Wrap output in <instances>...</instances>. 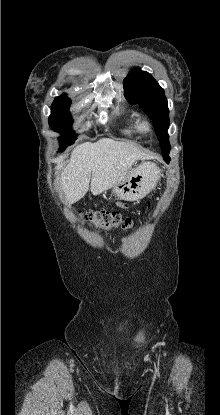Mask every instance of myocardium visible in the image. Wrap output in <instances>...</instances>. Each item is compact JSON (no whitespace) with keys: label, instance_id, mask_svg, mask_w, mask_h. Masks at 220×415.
<instances>
[{"label":"myocardium","instance_id":"obj_1","mask_svg":"<svg viewBox=\"0 0 220 415\" xmlns=\"http://www.w3.org/2000/svg\"><path fill=\"white\" fill-rule=\"evenodd\" d=\"M139 131L141 132V133H143V134H149V133H151V131H152V124H151V122L150 121H148V120H142L140 123H139Z\"/></svg>","mask_w":220,"mask_h":415}]
</instances>
